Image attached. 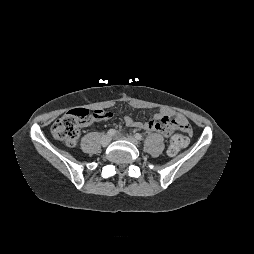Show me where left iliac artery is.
I'll return each mask as SVG.
<instances>
[{
  "instance_id": "1",
  "label": "left iliac artery",
  "mask_w": 254,
  "mask_h": 254,
  "mask_svg": "<svg viewBox=\"0 0 254 254\" xmlns=\"http://www.w3.org/2000/svg\"><path fill=\"white\" fill-rule=\"evenodd\" d=\"M135 138L138 139V140H141L142 139V135L140 133H136L135 134Z\"/></svg>"
}]
</instances>
